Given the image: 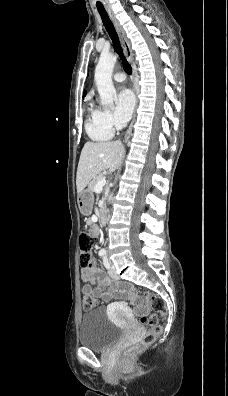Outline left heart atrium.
I'll list each match as a JSON object with an SVG mask.
<instances>
[{
    "mask_svg": "<svg viewBox=\"0 0 228 396\" xmlns=\"http://www.w3.org/2000/svg\"><path fill=\"white\" fill-rule=\"evenodd\" d=\"M135 106V97L129 89H121L116 98V117L120 122H127Z\"/></svg>",
    "mask_w": 228,
    "mask_h": 396,
    "instance_id": "39dd6f15",
    "label": "left heart atrium"
}]
</instances>
